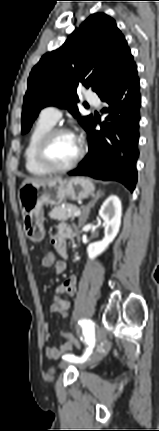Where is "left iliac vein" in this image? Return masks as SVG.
Listing matches in <instances>:
<instances>
[{"mask_svg": "<svg viewBox=\"0 0 159 431\" xmlns=\"http://www.w3.org/2000/svg\"><path fill=\"white\" fill-rule=\"evenodd\" d=\"M96 339L97 341L103 343L105 339V332L103 330H98L96 333ZM101 347L102 346H100L92 355H90L86 359V361L80 365V368H86L88 366H91L99 362L104 356V352ZM67 365H68V362L66 361H63L60 363L61 368H65Z\"/></svg>", "mask_w": 159, "mask_h": 431, "instance_id": "1", "label": "left iliac vein"}]
</instances>
